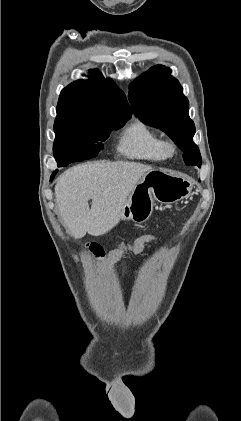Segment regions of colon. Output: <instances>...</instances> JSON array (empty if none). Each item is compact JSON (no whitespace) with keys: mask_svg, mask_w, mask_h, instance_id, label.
<instances>
[{"mask_svg":"<svg viewBox=\"0 0 241 421\" xmlns=\"http://www.w3.org/2000/svg\"><path fill=\"white\" fill-rule=\"evenodd\" d=\"M88 248L89 250L96 256V257H102L104 254V250L102 248V246L98 243H90L88 244ZM126 250H130L133 252H141L143 250V247L138 246L136 243H121L119 245V252H123Z\"/></svg>","mask_w":241,"mask_h":421,"instance_id":"obj_1","label":"colon"}]
</instances>
